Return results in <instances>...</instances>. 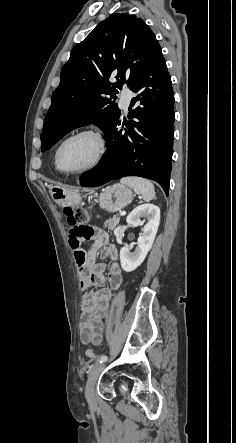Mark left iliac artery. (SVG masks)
<instances>
[{
	"mask_svg": "<svg viewBox=\"0 0 236 443\" xmlns=\"http://www.w3.org/2000/svg\"><path fill=\"white\" fill-rule=\"evenodd\" d=\"M106 360H107V356H105V355H102V356H100V357L97 359V361L100 362V363H103V362H105Z\"/></svg>",
	"mask_w": 236,
	"mask_h": 443,
	"instance_id": "44dca946",
	"label": "left iliac artery"
}]
</instances>
